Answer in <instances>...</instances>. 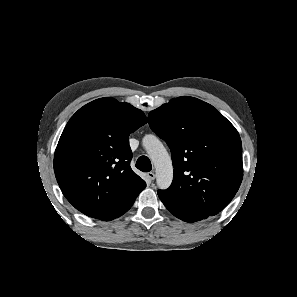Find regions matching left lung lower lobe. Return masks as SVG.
<instances>
[{
	"label": "left lung lower lobe",
	"instance_id": "left-lung-lower-lobe-1",
	"mask_svg": "<svg viewBox=\"0 0 297 297\" xmlns=\"http://www.w3.org/2000/svg\"><path fill=\"white\" fill-rule=\"evenodd\" d=\"M158 195L161 201L163 202V204L165 205V207L177 218L186 222H196L199 220L191 216H188L187 214L183 213L179 209L175 208L173 205L170 204L169 200L166 197H164L162 194L158 193Z\"/></svg>",
	"mask_w": 297,
	"mask_h": 297
}]
</instances>
